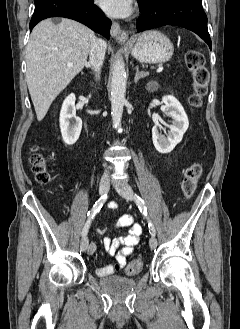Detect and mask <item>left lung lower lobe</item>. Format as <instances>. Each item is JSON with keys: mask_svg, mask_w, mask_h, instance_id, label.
Segmentation results:
<instances>
[{"mask_svg": "<svg viewBox=\"0 0 240 329\" xmlns=\"http://www.w3.org/2000/svg\"><path fill=\"white\" fill-rule=\"evenodd\" d=\"M141 16L137 32L174 25L198 34L210 47L212 42L207 29V16L202 0H138Z\"/></svg>", "mask_w": 240, "mask_h": 329, "instance_id": "obj_1", "label": "left lung lower lobe"}]
</instances>
